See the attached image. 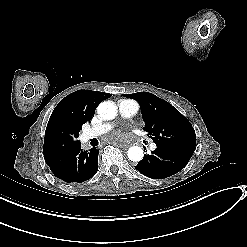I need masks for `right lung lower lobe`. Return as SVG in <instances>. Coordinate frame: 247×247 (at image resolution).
Segmentation results:
<instances>
[{
	"mask_svg": "<svg viewBox=\"0 0 247 247\" xmlns=\"http://www.w3.org/2000/svg\"><path fill=\"white\" fill-rule=\"evenodd\" d=\"M99 150L82 151L80 142L60 153L45 155L46 164L59 179L81 183L92 178L98 170Z\"/></svg>",
	"mask_w": 247,
	"mask_h": 247,
	"instance_id": "obj_1",
	"label": "right lung lower lobe"
}]
</instances>
